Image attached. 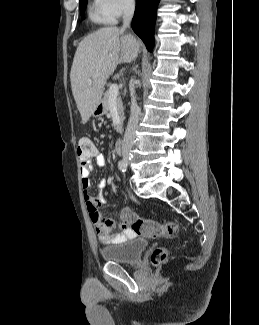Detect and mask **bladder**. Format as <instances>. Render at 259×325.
Masks as SVG:
<instances>
[{
	"mask_svg": "<svg viewBox=\"0 0 259 325\" xmlns=\"http://www.w3.org/2000/svg\"><path fill=\"white\" fill-rule=\"evenodd\" d=\"M147 245L148 242L145 238H134L126 242L103 247L100 254L107 262L135 264L140 260Z\"/></svg>",
	"mask_w": 259,
	"mask_h": 325,
	"instance_id": "obj_1",
	"label": "bladder"
}]
</instances>
